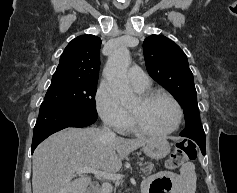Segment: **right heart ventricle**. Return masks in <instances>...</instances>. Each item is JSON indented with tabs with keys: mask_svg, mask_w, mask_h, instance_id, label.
Returning <instances> with one entry per match:
<instances>
[{
	"mask_svg": "<svg viewBox=\"0 0 237 193\" xmlns=\"http://www.w3.org/2000/svg\"><path fill=\"white\" fill-rule=\"evenodd\" d=\"M128 128H131V126H130V122L128 123V126H127V128H126V129H128Z\"/></svg>",
	"mask_w": 237,
	"mask_h": 193,
	"instance_id": "1",
	"label": "right heart ventricle"
}]
</instances>
